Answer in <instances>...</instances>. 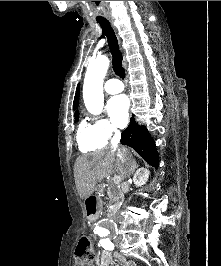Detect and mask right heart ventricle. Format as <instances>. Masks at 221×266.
I'll return each instance as SVG.
<instances>
[{
	"mask_svg": "<svg viewBox=\"0 0 221 266\" xmlns=\"http://www.w3.org/2000/svg\"><path fill=\"white\" fill-rule=\"evenodd\" d=\"M76 138L82 152L97 151L106 145V140L98 134L95 125L86 120L80 122Z\"/></svg>",
	"mask_w": 221,
	"mask_h": 266,
	"instance_id": "obj_1",
	"label": "right heart ventricle"
}]
</instances>
